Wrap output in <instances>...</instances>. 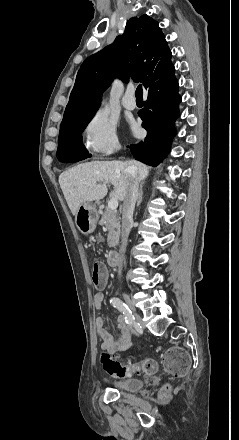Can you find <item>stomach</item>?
I'll return each instance as SVG.
<instances>
[{
  "label": "stomach",
  "instance_id": "obj_1",
  "mask_svg": "<svg viewBox=\"0 0 239 440\" xmlns=\"http://www.w3.org/2000/svg\"><path fill=\"white\" fill-rule=\"evenodd\" d=\"M98 220L97 202H83V204H80L75 216V224L81 234H85V236L92 234Z\"/></svg>",
  "mask_w": 239,
  "mask_h": 440
}]
</instances>
